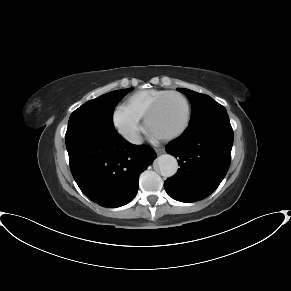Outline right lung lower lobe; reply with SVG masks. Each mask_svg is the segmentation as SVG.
<instances>
[{
  "mask_svg": "<svg viewBox=\"0 0 291 291\" xmlns=\"http://www.w3.org/2000/svg\"><path fill=\"white\" fill-rule=\"evenodd\" d=\"M65 142L79 188L103 207H120L133 200L140 174L156 158L151 147L133 145L114 128L98 124L68 125Z\"/></svg>",
  "mask_w": 291,
  "mask_h": 291,
  "instance_id": "98d812e1",
  "label": "right lung lower lobe"
}]
</instances>
